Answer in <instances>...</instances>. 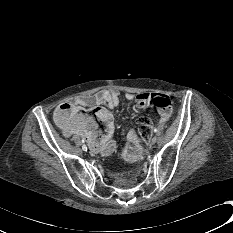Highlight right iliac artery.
<instances>
[{
  "instance_id": "right-iliac-artery-1",
  "label": "right iliac artery",
  "mask_w": 233,
  "mask_h": 233,
  "mask_svg": "<svg viewBox=\"0 0 233 233\" xmlns=\"http://www.w3.org/2000/svg\"><path fill=\"white\" fill-rule=\"evenodd\" d=\"M82 142H84V140H82ZM82 149H83L84 151H87L86 145H83V146H82Z\"/></svg>"
}]
</instances>
